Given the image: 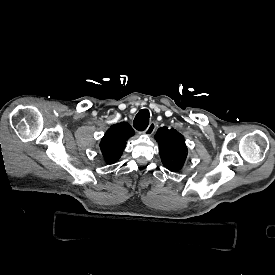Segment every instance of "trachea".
<instances>
[{
  "instance_id": "obj_1",
  "label": "trachea",
  "mask_w": 275,
  "mask_h": 275,
  "mask_svg": "<svg viewBox=\"0 0 275 275\" xmlns=\"http://www.w3.org/2000/svg\"><path fill=\"white\" fill-rule=\"evenodd\" d=\"M149 116V111L147 109L139 111L133 121L134 128L138 131H144L149 124Z\"/></svg>"
}]
</instances>
